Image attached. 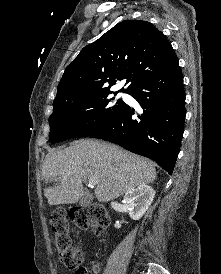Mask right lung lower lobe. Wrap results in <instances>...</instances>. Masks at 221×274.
Instances as JSON below:
<instances>
[{
    "label": "right lung lower lobe",
    "instance_id": "1",
    "mask_svg": "<svg viewBox=\"0 0 221 274\" xmlns=\"http://www.w3.org/2000/svg\"><path fill=\"white\" fill-rule=\"evenodd\" d=\"M128 94L137 100L143 114L132 119L134 109L125 104L110 123L89 137L110 141L148 157L172 174L186 113L183 75L178 60L140 82Z\"/></svg>",
    "mask_w": 221,
    "mask_h": 274
}]
</instances>
